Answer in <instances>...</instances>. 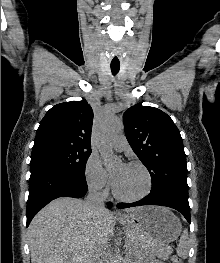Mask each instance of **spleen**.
Masks as SVG:
<instances>
[{
    "label": "spleen",
    "instance_id": "1",
    "mask_svg": "<svg viewBox=\"0 0 220 263\" xmlns=\"http://www.w3.org/2000/svg\"><path fill=\"white\" fill-rule=\"evenodd\" d=\"M189 251V237L188 230L183 231L182 236L180 237L179 244L177 246V253L179 256L185 258L188 255Z\"/></svg>",
    "mask_w": 220,
    "mask_h": 263
}]
</instances>
